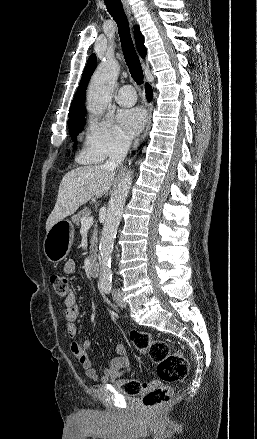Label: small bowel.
<instances>
[{"label":"small bowel","instance_id":"obj_1","mask_svg":"<svg viewBox=\"0 0 257 439\" xmlns=\"http://www.w3.org/2000/svg\"><path fill=\"white\" fill-rule=\"evenodd\" d=\"M74 271V261H66L63 266L64 274L70 275L73 274ZM64 305L66 307L64 314L67 321V333L68 336L73 339L71 350L81 366L84 368L87 377L93 381L100 380L103 383H108L111 381H116L127 374L130 371L131 364L124 342L117 343L115 347L116 356L104 366L102 375L100 376L97 373L94 364L88 355L90 342L88 340L77 339L76 320L79 315V306L77 305L76 296L71 293L69 297L64 300Z\"/></svg>","mask_w":257,"mask_h":439}]
</instances>
